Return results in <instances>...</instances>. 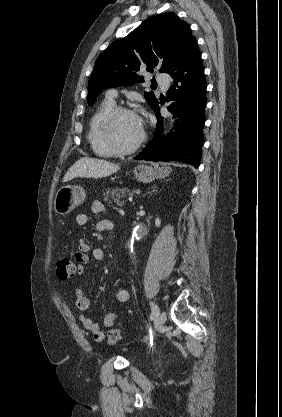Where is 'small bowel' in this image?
<instances>
[{
	"mask_svg": "<svg viewBox=\"0 0 282 417\" xmlns=\"http://www.w3.org/2000/svg\"><path fill=\"white\" fill-rule=\"evenodd\" d=\"M92 213L99 216H106L108 214L107 208L101 201H94L91 205ZM90 222V217L87 213H79L76 216V223L79 226H87ZM115 220L111 218H105L99 221L95 225V230L97 232H109L112 233L115 230ZM91 254L92 258L95 261H103L105 259V251L100 246H90L88 241L85 238L79 240L78 249L75 252V260L77 262L76 272L82 274L84 272L85 266L89 263ZM74 297L76 302V307L78 309V319L83 326V328L89 331L94 340L103 341L105 340V333L100 329L99 325L96 324L86 312L89 309L90 302L85 292L82 289H76L74 291ZM116 299L119 303H127L130 299V291L127 288H119L116 292ZM119 320V314L116 312H109L103 318V325L107 328L111 324H116Z\"/></svg>",
	"mask_w": 282,
	"mask_h": 417,
	"instance_id": "obj_1",
	"label": "small bowel"
}]
</instances>
